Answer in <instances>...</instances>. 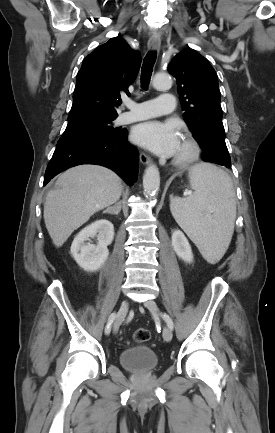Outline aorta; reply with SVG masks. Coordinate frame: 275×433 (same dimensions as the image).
<instances>
[{
    "label": "aorta",
    "instance_id": "1",
    "mask_svg": "<svg viewBox=\"0 0 275 433\" xmlns=\"http://www.w3.org/2000/svg\"><path fill=\"white\" fill-rule=\"evenodd\" d=\"M172 86V79L168 74H156L153 78V87L157 90H166ZM143 188L148 196H154L160 188V173L155 165L146 168L143 175Z\"/></svg>",
    "mask_w": 275,
    "mask_h": 433
}]
</instances>
